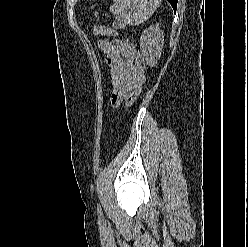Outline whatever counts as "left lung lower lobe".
Instances as JSON below:
<instances>
[{"mask_svg":"<svg viewBox=\"0 0 248 247\" xmlns=\"http://www.w3.org/2000/svg\"><path fill=\"white\" fill-rule=\"evenodd\" d=\"M177 1L178 0H168V2L172 5L174 11H176Z\"/></svg>","mask_w":248,"mask_h":247,"instance_id":"obj_1","label":"left lung lower lobe"}]
</instances>
